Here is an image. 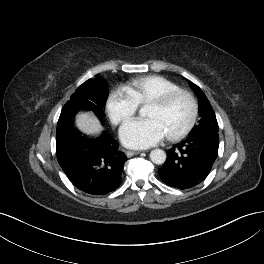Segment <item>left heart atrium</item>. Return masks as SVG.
Returning a JSON list of instances; mask_svg holds the SVG:
<instances>
[{"label": "left heart atrium", "mask_w": 264, "mask_h": 264, "mask_svg": "<svg viewBox=\"0 0 264 264\" xmlns=\"http://www.w3.org/2000/svg\"><path fill=\"white\" fill-rule=\"evenodd\" d=\"M166 136L162 125L153 118L134 119L120 129L122 142L136 149L154 146Z\"/></svg>", "instance_id": "1"}]
</instances>
